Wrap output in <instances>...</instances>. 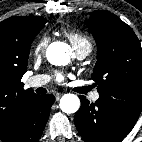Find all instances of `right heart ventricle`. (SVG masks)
Instances as JSON below:
<instances>
[{
	"mask_svg": "<svg viewBox=\"0 0 142 142\" xmlns=\"http://www.w3.org/2000/svg\"><path fill=\"white\" fill-rule=\"evenodd\" d=\"M65 35L77 53L83 51L88 53L91 52L93 43L88 35L74 30L66 31Z\"/></svg>",
	"mask_w": 142,
	"mask_h": 142,
	"instance_id": "1",
	"label": "right heart ventricle"
}]
</instances>
